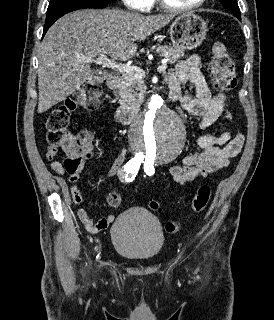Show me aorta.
Returning a JSON list of instances; mask_svg holds the SVG:
<instances>
[{
    "label": "aorta",
    "mask_w": 274,
    "mask_h": 320,
    "mask_svg": "<svg viewBox=\"0 0 274 320\" xmlns=\"http://www.w3.org/2000/svg\"><path fill=\"white\" fill-rule=\"evenodd\" d=\"M130 140L140 158L167 163L180 154L185 128L180 117L156 94L151 96L146 111L133 121Z\"/></svg>",
    "instance_id": "762f6f07"
}]
</instances>
